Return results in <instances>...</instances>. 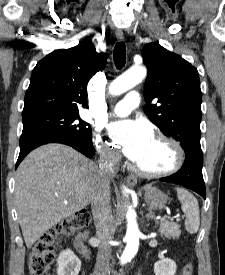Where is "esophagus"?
<instances>
[{
  "label": "esophagus",
  "instance_id": "esophagus-1",
  "mask_svg": "<svg viewBox=\"0 0 225 275\" xmlns=\"http://www.w3.org/2000/svg\"><path fill=\"white\" fill-rule=\"evenodd\" d=\"M115 35H116V38L118 41H123L124 40V34H123V31L120 30V29H117L116 32H115ZM137 183V179L136 177L134 176H129L127 178V184L130 186V187H133L135 186Z\"/></svg>",
  "mask_w": 225,
  "mask_h": 275
}]
</instances>
